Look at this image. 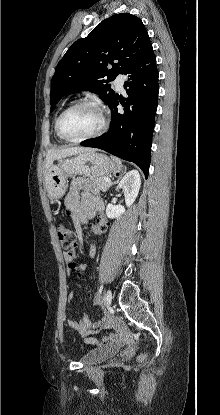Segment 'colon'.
Listing matches in <instances>:
<instances>
[{"label":"colon","mask_w":220,"mask_h":415,"mask_svg":"<svg viewBox=\"0 0 220 415\" xmlns=\"http://www.w3.org/2000/svg\"><path fill=\"white\" fill-rule=\"evenodd\" d=\"M57 234L62 247L66 250L69 268L74 272L76 270V260L78 258L76 236L68 226L63 224L58 226Z\"/></svg>","instance_id":"1"}]
</instances>
